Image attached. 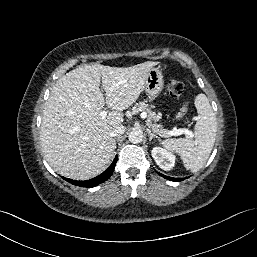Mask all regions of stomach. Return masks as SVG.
Here are the masks:
<instances>
[{
  "label": "stomach",
  "mask_w": 257,
  "mask_h": 257,
  "mask_svg": "<svg viewBox=\"0 0 257 257\" xmlns=\"http://www.w3.org/2000/svg\"><path fill=\"white\" fill-rule=\"evenodd\" d=\"M164 85L163 74L160 67L152 68L145 81L144 90L150 99H155L162 91Z\"/></svg>",
  "instance_id": "0dacf381"
}]
</instances>
